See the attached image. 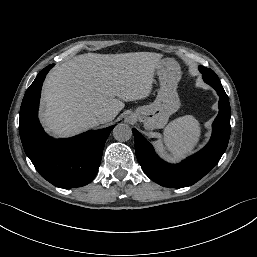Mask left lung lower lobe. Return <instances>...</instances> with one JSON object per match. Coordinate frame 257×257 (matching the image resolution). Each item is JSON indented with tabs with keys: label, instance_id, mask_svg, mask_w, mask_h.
Returning <instances> with one entry per match:
<instances>
[{
	"label": "left lung lower lobe",
	"instance_id": "left-lung-lower-lobe-1",
	"mask_svg": "<svg viewBox=\"0 0 257 257\" xmlns=\"http://www.w3.org/2000/svg\"><path fill=\"white\" fill-rule=\"evenodd\" d=\"M219 94V114L213 122L209 143L197 154L179 164H169L160 159L152 145L141 133L133 129L135 152L145 174L156 183L171 188L191 186L204 177L220 160L230 137L231 109L223 87H213Z\"/></svg>",
	"mask_w": 257,
	"mask_h": 257
}]
</instances>
